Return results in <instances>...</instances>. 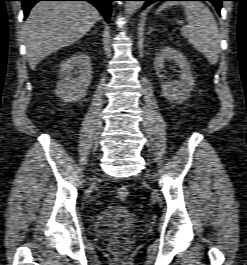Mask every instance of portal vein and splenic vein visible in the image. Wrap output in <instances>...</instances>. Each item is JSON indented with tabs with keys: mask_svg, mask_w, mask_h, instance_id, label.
I'll use <instances>...</instances> for the list:
<instances>
[{
	"mask_svg": "<svg viewBox=\"0 0 247 265\" xmlns=\"http://www.w3.org/2000/svg\"><path fill=\"white\" fill-rule=\"evenodd\" d=\"M178 24H182V21H178Z\"/></svg>",
	"mask_w": 247,
	"mask_h": 265,
	"instance_id": "1",
	"label": "portal vein and splenic vein"
}]
</instances>
